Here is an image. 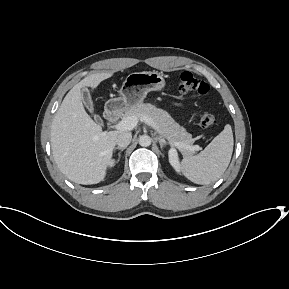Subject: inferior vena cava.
I'll list each match as a JSON object with an SVG mask.
<instances>
[{"instance_id":"inferior-vena-cava-1","label":"inferior vena cava","mask_w":289,"mask_h":289,"mask_svg":"<svg viewBox=\"0 0 289 289\" xmlns=\"http://www.w3.org/2000/svg\"><path fill=\"white\" fill-rule=\"evenodd\" d=\"M131 140L132 134L130 132H121L116 139V144L119 147L126 148L130 144Z\"/></svg>"}]
</instances>
